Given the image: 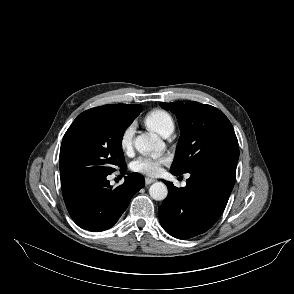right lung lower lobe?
<instances>
[{
  "label": "right lung lower lobe",
  "instance_id": "1",
  "mask_svg": "<svg viewBox=\"0 0 294 294\" xmlns=\"http://www.w3.org/2000/svg\"><path fill=\"white\" fill-rule=\"evenodd\" d=\"M139 173H131L125 182L112 189L107 175L72 177L61 180L63 198L74 222L89 231L112 227L126 210L133 195L144 187Z\"/></svg>",
  "mask_w": 294,
  "mask_h": 294
}]
</instances>
